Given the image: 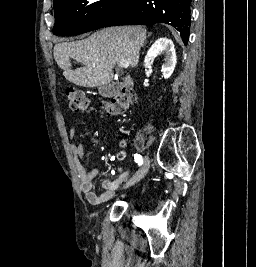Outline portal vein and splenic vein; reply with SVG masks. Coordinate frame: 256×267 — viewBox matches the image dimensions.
Returning a JSON list of instances; mask_svg holds the SVG:
<instances>
[{"mask_svg": "<svg viewBox=\"0 0 256 267\" xmlns=\"http://www.w3.org/2000/svg\"><path fill=\"white\" fill-rule=\"evenodd\" d=\"M119 66L120 68H128L129 64L128 62H120Z\"/></svg>", "mask_w": 256, "mask_h": 267, "instance_id": "1", "label": "portal vein and splenic vein"}]
</instances>
